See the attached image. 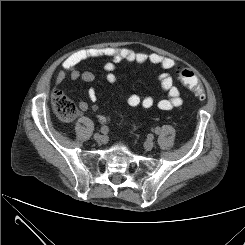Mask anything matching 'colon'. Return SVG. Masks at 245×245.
I'll return each instance as SVG.
<instances>
[{
    "mask_svg": "<svg viewBox=\"0 0 245 245\" xmlns=\"http://www.w3.org/2000/svg\"><path fill=\"white\" fill-rule=\"evenodd\" d=\"M177 76L184 86L191 89L197 96L204 98V89L197 74L188 68L177 70ZM54 112L64 121H71L78 115L75 102L61 91H54L51 96Z\"/></svg>",
    "mask_w": 245,
    "mask_h": 245,
    "instance_id": "1",
    "label": "colon"
}]
</instances>
